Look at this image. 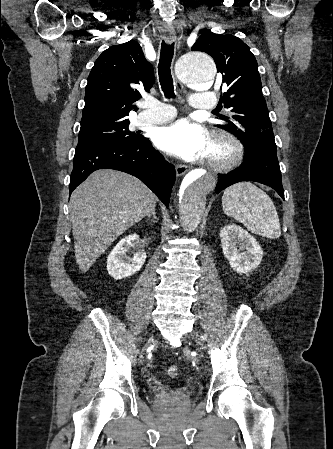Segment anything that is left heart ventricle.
<instances>
[{
    "mask_svg": "<svg viewBox=\"0 0 333 449\" xmlns=\"http://www.w3.org/2000/svg\"><path fill=\"white\" fill-rule=\"evenodd\" d=\"M216 154H217L216 150L213 149V147L211 146V150H210L208 156H213V155H216Z\"/></svg>",
    "mask_w": 333,
    "mask_h": 449,
    "instance_id": "left-heart-ventricle-1",
    "label": "left heart ventricle"
}]
</instances>
